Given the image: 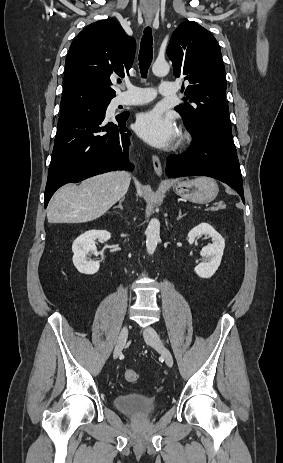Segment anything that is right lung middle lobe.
Wrapping results in <instances>:
<instances>
[{
    "label": "right lung middle lobe",
    "instance_id": "right-lung-middle-lobe-1",
    "mask_svg": "<svg viewBox=\"0 0 283 463\" xmlns=\"http://www.w3.org/2000/svg\"><path fill=\"white\" fill-rule=\"evenodd\" d=\"M109 103H110V100L94 101V102H89V103H86V104L78 106V107L62 110V111H60V118L59 119H63V118H66L68 116H71L73 114L89 110V109H91L93 107H106V106H108Z\"/></svg>",
    "mask_w": 283,
    "mask_h": 463
}]
</instances>
